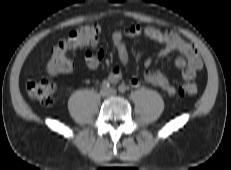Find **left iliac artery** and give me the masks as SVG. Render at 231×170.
Segmentation results:
<instances>
[{
    "label": "left iliac artery",
    "instance_id": "left-iliac-artery-1",
    "mask_svg": "<svg viewBox=\"0 0 231 170\" xmlns=\"http://www.w3.org/2000/svg\"><path fill=\"white\" fill-rule=\"evenodd\" d=\"M118 90L120 93H125L127 90V87L124 84L119 85Z\"/></svg>",
    "mask_w": 231,
    "mask_h": 170
}]
</instances>
